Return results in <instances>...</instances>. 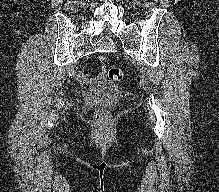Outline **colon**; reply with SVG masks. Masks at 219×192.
Returning a JSON list of instances; mask_svg holds the SVG:
<instances>
[{"instance_id": "obj_1", "label": "colon", "mask_w": 219, "mask_h": 192, "mask_svg": "<svg viewBox=\"0 0 219 192\" xmlns=\"http://www.w3.org/2000/svg\"><path fill=\"white\" fill-rule=\"evenodd\" d=\"M107 75L111 81H120L124 77L123 71L117 67H111ZM94 120L99 127H104L109 123V115L106 110H97L94 115Z\"/></svg>"}]
</instances>
